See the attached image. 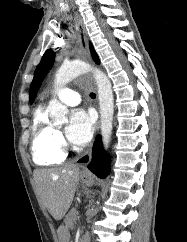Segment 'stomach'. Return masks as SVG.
<instances>
[{
  "label": "stomach",
  "mask_w": 187,
  "mask_h": 242,
  "mask_svg": "<svg viewBox=\"0 0 187 242\" xmlns=\"http://www.w3.org/2000/svg\"><path fill=\"white\" fill-rule=\"evenodd\" d=\"M80 178L85 185H92L94 179L91 175L81 174ZM58 242H70V232L68 228L64 225H61L57 230Z\"/></svg>",
  "instance_id": "obj_1"
}]
</instances>
